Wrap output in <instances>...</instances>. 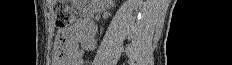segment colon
I'll return each instance as SVG.
<instances>
[{
  "label": "colon",
  "instance_id": "5ec220e1",
  "mask_svg": "<svg viewBox=\"0 0 232 65\" xmlns=\"http://www.w3.org/2000/svg\"><path fill=\"white\" fill-rule=\"evenodd\" d=\"M79 21L78 12L69 5L59 7L56 11L55 26L58 30H64L72 27ZM56 46L58 55L61 58L67 56V52L64 48V39L58 36L56 39Z\"/></svg>",
  "mask_w": 232,
  "mask_h": 65
}]
</instances>
